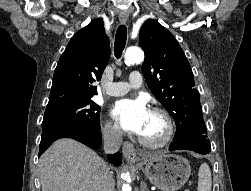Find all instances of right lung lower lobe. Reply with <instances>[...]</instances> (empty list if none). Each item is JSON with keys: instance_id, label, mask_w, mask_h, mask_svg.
<instances>
[{"instance_id": "obj_1", "label": "right lung lower lobe", "mask_w": 251, "mask_h": 191, "mask_svg": "<svg viewBox=\"0 0 251 191\" xmlns=\"http://www.w3.org/2000/svg\"><path fill=\"white\" fill-rule=\"evenodd\" d=\"M72 138L91 148L101 147V133L99 128H90L82 125H67L42 135L39 146V156L57 139ZM108 159L115 165L122 163L120 153L108 155Z\"/></svg>"}]
</instances>
